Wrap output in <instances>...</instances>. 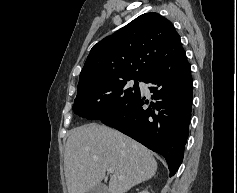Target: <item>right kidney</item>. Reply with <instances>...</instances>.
Masks as SVG:
<instances>
[{
  "label": "right kidney",
  "mask_w": 237,
  "mask_h": 193,
  "mask_svg": "<svg viewBox=\"0 0 237 193\" xmlns=\"http://www.w3.org/2000/svg\"><path fill=\"white\" fill-rule=\"evenodd\" d=\"M139 193H149L147 190H144L142 192H139Z\"/></svg>",
  "instance_id": "right-kidney-1"
}]
</instances>
